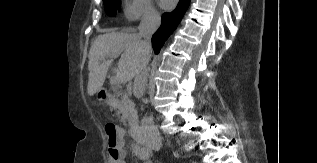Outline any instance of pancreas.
Returning a JSON list of instances; mask_svg holds the SVG:
<instances>
[{
    "instance_id": "obj_1",
    "label": "pancreas",
    "mask_w": 317,
    "mask_h": 163,
    "mask_svg": "<svg viewBox=\"0 0 317 163\" xmlns=\"http://www.w3.org/2000/svg\"><path fill=\"white\" fill-rule=\"evenodd\" d=\"M117 96H121V99L113 102V108L120 121L124 124L128 123L129 126L136 124L138 115L134 103L122 93H118Z\"/></svg>"
}]
</instances>
